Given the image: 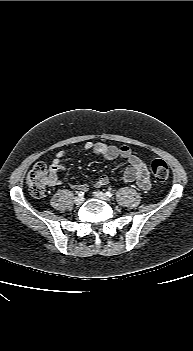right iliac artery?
<instances>
[{
	"label": "right iliac artery",
	"instance_id": "obj_1",
	"mask_svg": "<svg viewBox=\"0 0 193 351\" xmlns=\"http://www.w3.org/2000/svg\"><path fill=\"white\" fill-rule=\"evenodd\" d=\"M84 195V192L83 191H80L79 193H78V196H83Z\"/></svg>",
	"mask_w": 193,
	"mask_h": 351
}]
</instances>
